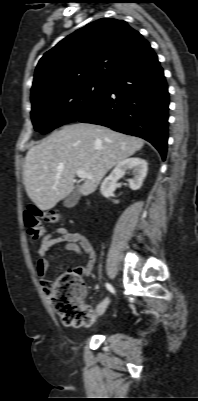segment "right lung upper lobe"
I'll use <instances>...</instances> for the list:
<instances>
[{
	"mask_svg": "<svg viewBox=\"0 0 198 401\" xmlns=\"http://www.w3.org/2000/svg\"><path fill=\"white\" fill-rule=\"evenodd\" d=\"M150 48L123 20L92 22L43 55L35 70L31 100L84 82L109 81Z\"/></svg>",
	"mask_w": 198,
	"mask_h": 401,
	"instance_id": "obj_1",
	"label": "right lung upper lobe"
}]
</instances>
